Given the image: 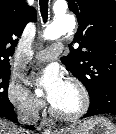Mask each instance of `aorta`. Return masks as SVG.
<instances>
[{"label":"aorta","instance_id":"obj_1","mask_svg":"<svg viewBox=\"0 0 116 134\" xmlns=\"http://www.w3.org/2000/svg\"><path fill=\"white\" fill-rule=\"evenodd\" d=\"M75 18L73 15L64 14L55 19L44 31L43 38L46 40H54L65 35L68 31L74 29ZM36 92H39L37 90ZM45 134H50L46 132Z\"/></svg>","mask_w":116,"mask_h":134}]
</instances>
